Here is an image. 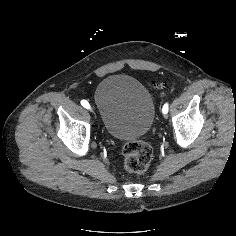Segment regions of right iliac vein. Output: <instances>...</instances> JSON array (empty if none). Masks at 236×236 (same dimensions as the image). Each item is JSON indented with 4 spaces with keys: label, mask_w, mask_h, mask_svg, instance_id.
Masks as SVG:
<instances>
[{
    "label": "right iliac vein",
    "mask_w": 236,
    "mask_h": 236,
    "mask_svg": "<svg viewBox=\"0 0 236 236\" xmlns=\"http://www.w3.org/2000/svg\"><path fill=\"white\" fill-rule=\"evenodd\" d=\"M91 108H93L95 111H96V109L94 108V107H91ZM96 114H97V112H96ZM97 118H98V114H97ZM99 119V118H98Z\"/></svg>",
    "instance_id": "1"
}]
</instances>
